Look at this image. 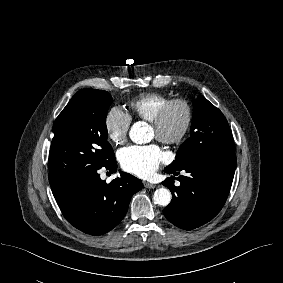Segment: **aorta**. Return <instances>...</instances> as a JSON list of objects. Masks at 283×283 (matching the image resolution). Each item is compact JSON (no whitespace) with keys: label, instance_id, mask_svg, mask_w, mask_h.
<instances>
[{"label":"aorta","instance_id":"aorta-1","mask_svg":"<svg viewBox=\"0 0 283 283\" xmlns=\"http://www.w3.org/2000/svg\"><path fill=\"white\" fill-rule=\"evenodd\" d=\"M149 126L145 122H136L130 129V139L136 144H143L150 140ZM154 202L160 206H167L171 201V192L167 188H159L153 194Z\"/></svg>","mask_w":283,"mask_h":283}]
</instances>
